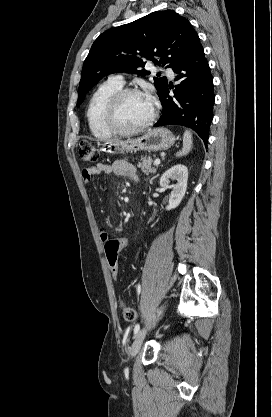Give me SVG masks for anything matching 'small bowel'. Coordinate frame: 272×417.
<instances>
[{"mask_svg":"<svg viewBox=\"0 0 272 417\" xmlns=\"http://www.w3.org/2000/svg\"><path fill=\"white\" fill-rule=\"evenodd\" d=\"M111 175L114 174L119 177L136 180L137 169L128 160L119 159L112 164H97L95 166L87 167L82 170V177L85 183H89L95 175ZM111 238L110 233L105 230L100 231V239L106 242Z\"/></svg>","mask_w":272,"mask_h":417,"instance_id":"c3829d8e","label":"small bowel"}]
</instances>
